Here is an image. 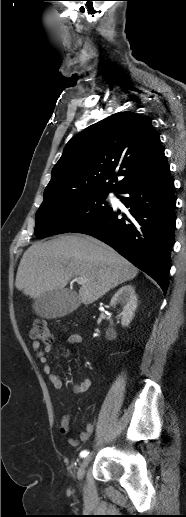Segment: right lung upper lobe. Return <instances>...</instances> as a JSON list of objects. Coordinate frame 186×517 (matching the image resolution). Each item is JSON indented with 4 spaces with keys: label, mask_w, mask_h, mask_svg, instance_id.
I'll return each instance as SVG.
<instances>
[{
    "label": "right lung upper lobe",
    "mask_w": 186,
    "mask_h": 517,
    "mask_svg": "<svg viewBox=\"0 0 186 517\" xmlns=\"http://www.w3.org/2000/svg\"><path fill=\"white\" fill-rule=\"evenodd\" d=\"M167 165L151 121L134 112H119L69 140L52 169L43 202L76 192H121ZM116 176L123 179L117 181Z\"/></svg>",
    "instance_id": "right-lung-upper-lobe-1"
}]
</instances>
